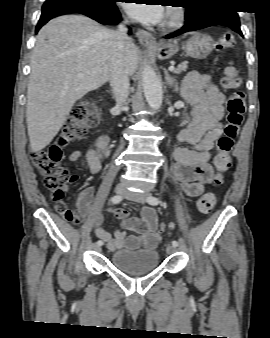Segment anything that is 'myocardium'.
<instances>
[{
    "mask_svg": "<svg viewBox=\"0 0 270 338\" xmlns=\"http://www.w3.org/2000/svg\"><path fill=\"white\" fill-rule=\"evenodd\" d=\"M186 18L185 10L177 5L170 6L165 19L161 22L160 28L164 31H171L180 28Z\"/></svg>",
    "mask_w": 270,
    "mask_h": 338,
    "instance_id": "myocardium-1",
    "label": "myocardium"
}]
</instances>
